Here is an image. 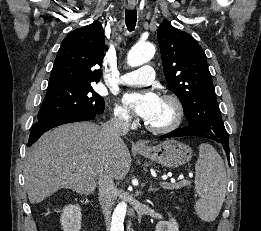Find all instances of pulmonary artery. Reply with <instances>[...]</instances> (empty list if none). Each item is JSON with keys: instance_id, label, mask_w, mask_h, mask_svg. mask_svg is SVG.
I'll return each instance as SVG.
<instances>
[{"instance_id": "obj_1", "label": "pulmonary artery", "mask_w": 261, "mask_h": 231, "mask_svg": "<svg viewBox=\"0 0 261 231\" xmlns=\"http://www.w3.org/2000/svg\"><path fill=\"white\" fill-rule=\"evenodd\" d=\"M154 75V68L152 66L145 65L124 74L121 77V83L125 85H147L153 81Z\"/></svg>"}]
</instances>
